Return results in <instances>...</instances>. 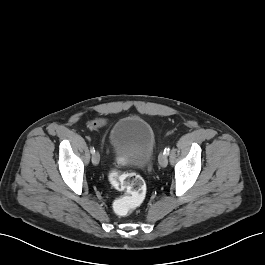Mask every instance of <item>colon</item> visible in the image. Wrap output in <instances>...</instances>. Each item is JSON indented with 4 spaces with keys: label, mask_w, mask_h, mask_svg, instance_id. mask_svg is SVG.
<instances>
[{
    "label": "colon",
    "mask_w": 265,
    "mask_h": 265,
    "mask_svg": "<svg viewBox=\"0 0 265 265\" xmlns=\"http://www.w3.org/2000/svg\"><path fill=\"white\" fill-rule=\"evenodd\" d=\"M110 183L114 188L124 190L127 193L124 199L115 204V211L118 215H127L143 201L145 184L137 174L133 172H126L124 174L112 172L110 174Z\"/></svg>",
    "instance_id": "1"
}]
</instances>
